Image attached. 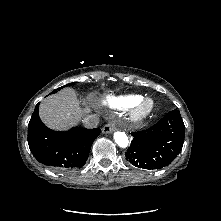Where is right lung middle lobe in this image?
<instances>
[{
    "label": "right lung middle lobe",
    "mask_w": 221,
    "mask_h": 221,
    "mask_svg": "<svg viewBox=\"0 0 221 221\" xmlns=\"http://www.w3.org/2000/svg\"><path fill=\"white\" fill-rule=\"evenodd\" d=\"M70 84H72V83H70ZM70 84H69V85H70ZM67 85H68V84H67ZM67 85H65V86H67ZM63 87H64V86H63ZM61 88H62V87H61ZM61 88H58V90L61 89ZM55 92H57V90H54L52 93H55Z\"/></svg>",
    "instance_id": "obj_1"
}]
</instances>
